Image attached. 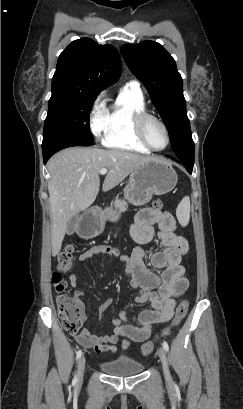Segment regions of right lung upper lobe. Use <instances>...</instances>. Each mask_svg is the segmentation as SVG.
<instances>
[{
	"label": "right lung upper lobe",
	"mask_w": 243,
	"mask_h": 409,
	"mask_svg": "<svg viewBox=\"0 0 243 409\" xmlns=\"http://www.w3.org/2000/svg\"><path fill=\"white\" fill-rule=\"evenodd\" d=\"M120 75L121 59L112 45H99L90 38H81L60 54L52 86L98 95Z\"/></svg>",
	"instance_id": "obj_1"
}]
</instances>
